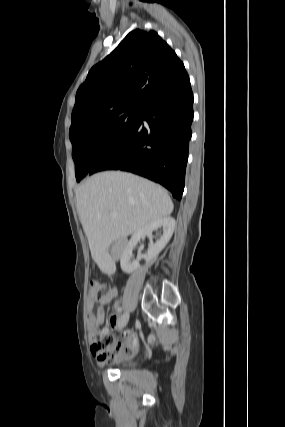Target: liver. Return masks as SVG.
Returning a JSON list of instances; mask_svg holds the SVG:
<instances>
[{"mask_svg":"<svg viewBox=\"0 0 285 427\" xmlns=\"http://www.w3.org/2000/svg\"><path fill=\"white\" fill-rule=\"evenodd\" d=\"M75 194L91 255L99 266L112 262L108 252L112 242L169 216L174 208L165 189L120 171L93 175L76 188ZM114 211L118 216L111 217Z\"/></svg>","mask_w":285,"mask_h":427,"instance_id":"6515ba94","label":"liver"}]
</instances>
